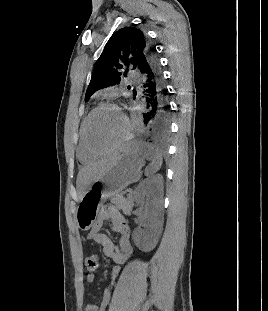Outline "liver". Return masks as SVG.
<instances>
[{
  "label": "liver",
  "mask_w": 268,
  "mask_h": 311,
  "mask_svg": "<svg viewBox=\"0 0 268 311\" xmlns=\"http://www.w3.org/2000/svg\"><path fill=\"white\" fill-rule=\"evenodd\" d=\"M116 156L109 157L106 159H102L96 163H93L85 168H83L77 177V185L81 191V197L86 192V190L90 187V185L98 180L106 171V169L110 166V164L114 161Z\"/></svg>",
  "instance_id": "liver-1"
}]
</instances>
